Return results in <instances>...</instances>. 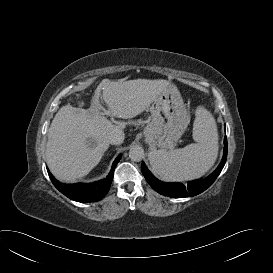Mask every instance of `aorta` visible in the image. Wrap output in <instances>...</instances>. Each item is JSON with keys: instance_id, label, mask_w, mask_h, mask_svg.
Returning a JSON list of instances; mask_svg holds the SVG:
<instances>
[{"instance_id": "762f6f07", "label": "aorta", "mask_w": 273, "mask_h": 273, "mask_svg": "<svg viewBox=\"0 0 273 273\" xmlns=\"http://www.w3.org/2000/svg\"><path fill=\"white\" fill-rule=\"evenodd\" d=\"M144 155V149L139 145L133 146L129 150V157L134 162L141 161L144 158Z\"/></svg>"}]
</instances>
